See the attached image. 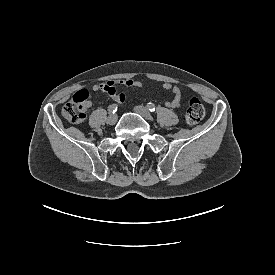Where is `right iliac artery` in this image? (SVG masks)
<instances>
[{"mask_svg":"<svg viewBox=\"0 0 275 275\" xmlns=\"http://www.w3.org/2000/svg\"><path fill=\"white\" fill-rule=\"evenodd\" d=\"M118 105L117 104H112L109 106V113L114 114L117 111Z\"/></svg>","mask_w":275,"mask_h":275,"instance_id":"right-iliac-artery-1","label":"right iliac artery"}]
</instances>
